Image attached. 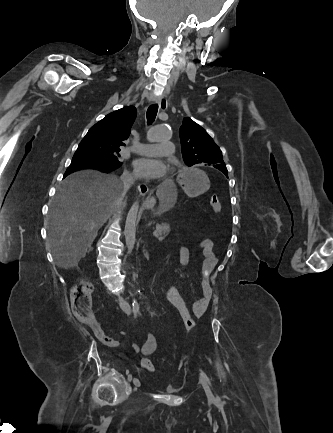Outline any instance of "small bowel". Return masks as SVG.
I'll return each instance as SVG.
<instances>
[{
  "mask_svg": "<svg viewBox=\"0 0 333 433\" xmlns=\"http://www.w3.org/2000/svg\"><path fill=\"white\" fill-rule=\"evenodd\" d=\"M202 255V274L201 280L202 292L198 299L192 305V311L195 316L202 317L206 314L213 296L212 286L208 281L209 274L215 269L217 265V257L213 252V242L210 239H204L198 243ZM177 259L182 266H187L190 262V252L187 248L181 247L177 251ZM168 289V288H167ZM181 296V295H180ZM182 297V296H181ZM167 298V296H166ZM186 302L185 298L182 297ZM187 306V304H186ZM188 307V306H187ZM189 309V308H188ZM95 337L110 348H118L119 342L112 337L105 334L99 323L91 325ZM157 347V342L152 334H146L144 342L139 344L134 342L132 350L134 353H141L143 356L148 357L152 355Z\"/></svg>",
  "mask_w": 333,
  "mask_h": 433,
  "instance_id": "obj_1",
  "label": "small bowel"
}]
</instances>
